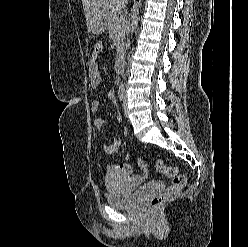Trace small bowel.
Wrapping results in <instances>:
<instances>
[{
  "mask_svg": "<svg viewBox=\"0 0 248 247\" xmlns=\"http://www.w3.org/2000/svg\"><path fill=\"white\" fill-rule=\"evenodd\" d=\"M101 51H102V48L100 50H94L88 62V73H89L91 87L93 89L98 88L102 82V76H101L100 67L98 63ZM99 107H100L99 101L94 100L91 102L90 110L91 112L96 113L99 110ZM93 123L96 129L98 131H101L105 124V119L103 117H96ZM121 144H122V140L115 138L110 143L103 144V149L107 154H113L119 150ZM128 158H129V155L127 154L126 159ZM107 169L108 171L119 170V171L124 172L127 175L129 184L131 186H137L141 184L144 180V177L142 175L133 174V168L128 163L110 165L107 167Z\"/></svg>",
  "mask_w": 248,
  "mask_h": 247,
  "instance_id": "small-bowel-1",
  "label": "small bowel"
}]
</instances>
